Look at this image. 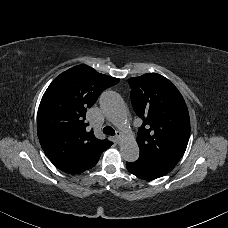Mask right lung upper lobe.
Here are the masks:
<instances>
[{"mask_svg":"<svg viewBox=\"0 0 228 228\" xmlns=\"http://www.w3.org/2000/svg\"><path fill=\"white\" fill-rule=\"evenodd\" d=\"M118 82V78L78 65L49 85L38 109L37 133L45 154L58 169L68 171L112 145L107 139L96 138L85 119L87 108L101 92Z\"/></svg>","mask_w":228,"mask_h":228,"instance_id":"obj_1","label":"right lung upper lobe"}]
</instances>
